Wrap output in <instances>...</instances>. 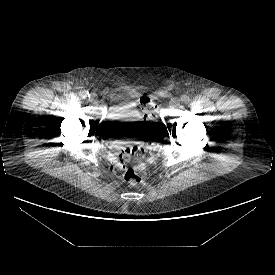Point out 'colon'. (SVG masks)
<instances>
[{"label":"colon","mask_w":275,"mask_h":275,"mask_svg":"<svg viewBox=\"0 0 275 275\" xmlns=\"http://www.w3.org/2000/svg\"><path fill=\"white\" fill-rule=\"evenodd\" d=\"M139 104L147 117H154L157 112V105L153 99L141 97ZM146 157L143 148L139 146H127L123 148L118 156V166L124 165L126 159L134 158L136 163L124 173V179L133 186H139L145 179V166L142 160Z\"/></svg>","instance_id":"obj_1"}]
</instances>
